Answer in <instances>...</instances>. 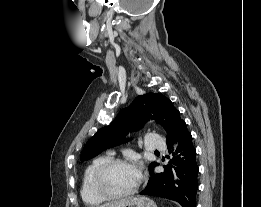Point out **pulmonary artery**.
<instances>
[{"instance_id":"obj_1","label":"pulmonary artery","mask_w":261,"mask_h":207,"mask_svg":"<svg viewBox=\"0 0 261 207\" xmlns=\"http://www.w3.org/2000/svg\"><path fill=\"white\" fill-rule=\"evenodd\" d=\"M165 148L166 144L159 135L153 133L147 135L148 150H164Z\"/></svg>"}]
</instances>
